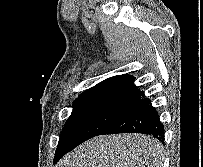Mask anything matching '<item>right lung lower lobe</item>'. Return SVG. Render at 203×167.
Instances as JSON below:
<instances>
[{"label":"right lung lower lobe","instance_id":"obj_1","mask_svg":"<svg viewBox=\"0 0 203 167\" xmlns=\"http://www.w3.org/2000/svg\"><path fill=\"white\" fill-rule=\"evenodd\" d=\"M117 133H143L152 135L160 142H164V126L160 122L156 109L150 104L149 98L140 99L102 135ZM67 152L69 149L58 144L54 163Z\"/></svg>","mask_w":203,"mask_h":167}]
</instances>
